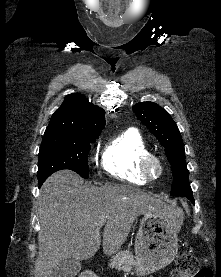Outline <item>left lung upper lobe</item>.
Masks as SVG:
<instances>
[{
  "label": "left lung upper lobe",
  "instance_id": "1",
  "mask_svg": "<svg viewBox=\"0 0 221 277\" xmlns=\"http://www.w3.org/2000/svg\"><path fill=\"white\" fill-rule=\"evenodd\" d=\"M133 111L165 147L173 175L170 195L185 197L191 195L184 144L176 123L166 110L153 102L137 103L133 106Z\"/></svg>",
  "mask_w": 221,
  "mask_h": 277
}]
</instances>
